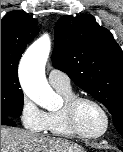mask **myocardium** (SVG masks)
Masks as SVG:
<instances>
[{
	"label": "myocardium",
	"mask_w": 123,
	"mask_h": 152,
	"mask_svg": "<svg viewBox=\"0 0 123 152\" xmlns=\"http://www.w3.org/2000/svg\"><path fill=\"white\" fill-rule=\"evenodd\" d=\"M84 102H88V103L95 105L104 115L105 126H104L103 130L97 134H87V133L83 132L78 125L77 110H78L79 105ZM64 111H65V116H66L67 123H68L70 129L78 137H81L84 139H97V138L104 136L107 133V131L109 130L110 116L108 114V111L103 106V104H101L99 101H97L96 99H94L92 97L75 95L65 102Z\"/></svg>",
	"instance_id": "myocardium-1"
}]
</instances>
